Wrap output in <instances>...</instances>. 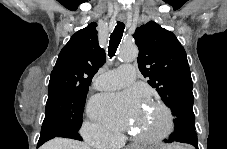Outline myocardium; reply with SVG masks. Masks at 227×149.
Returning <instances> with one entry per match:
<instances>
[{
    "label": "myocardium",
    "instance_id": "1",
    "mask_svg": "<svg viewBox=\"0 0 227 149\" xmlns=\"http://www.w3.org/2000/svg\"><path fill=\"white\" fill-rule=\"evenodd\" d=\"M150 103L158 107L162 111L165 118V124L162 130L157 133L151 135H132L135 141L144 145L156 144L158 142H161L171 134L174 128V118L170 108L165 103L157 99H151Z\"/></svg>",
    "mask_w": 227,
    "mask_h": 149
}]
</instances>
